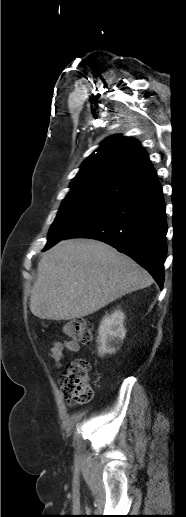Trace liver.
Segmentation results:
<instances>
[{"instance_id": "6515ba94", "label": "liver", "mask_w": 186, "mask_h": 517, "mask_svg": "<svg viewBox=\"0 0 186 517\" xmlns=\"http://www.w3.org/2000/svg\"><path fill=\"white\" fill-rule=\"evenodd\" d=\"M152 283L148 271L106 243L64 240L38 263L30 310L42 319L81 318Z\"/></svg>"}]
</instances>
